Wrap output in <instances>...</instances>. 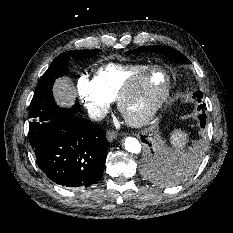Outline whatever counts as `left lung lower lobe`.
Segmentation results:
<instances>
[{
  "label": "left lung lower lobe",
  "mask_w": 233,
  "mask_h": 233,
  "mask_svg": "<svg viewBox=\"0 0 233 233\" xmlns=\"http://www.w3.org/2000/svg\"><path fill=\"white\" fill-rule=\"evenodd\" d=\"M200 121H201V127H204L205 126V124H206V115H205V113L203 112L201 115H200ZM143 137V136H142ZM144 143H147L149 146L151 145V144H149L148 143V141L145 139V138H142L141 139ZM152 154H153V152H152ZM148 161H149V166L151 167V165L154 163V158H153V156H150L149 157V159H148Z\"/></svg>",
  "instance_id": "1"
}]
</instances>
